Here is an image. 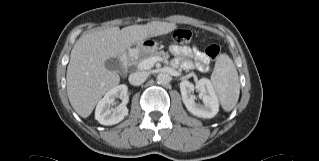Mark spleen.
Segmentation results:
<instances>
[{
    "label": "spleen",
    "instance_id": "3e777b00",
    "mask_svg": "<svg viewBox=\"0 0 319 161\" xmlns=\"http://www.w3.org/2000/svg\"><path fill=\"white\" fill-rule=\"evenodd\" d=\"M211 84L225 111H231L237 104L240 84L236 67L227 54H220L211 74Z\"/></svg>",
    "mask_w": 319,
    "mask_h": 161
}]
</instances>
